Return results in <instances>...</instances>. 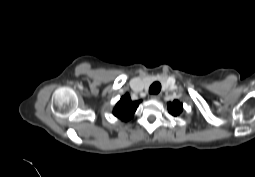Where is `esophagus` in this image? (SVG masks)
<instances>
[{
  "instance_id": "1",
  "label": "esophagus",
  "mask_w": 255,
  "mask_h": 177,
  "mask_svg": "<svg viewBox=\"0 0 255 177\" xmlns=\"http://www.w3.org/2000/svg\"><path fill=\"white\" fill-rule=\"evenodd\" d=\"M152 99L154 100H158L160 98V95L159 94H154L151 96Z\"/></svg>"
}]
</instances>
